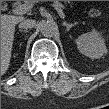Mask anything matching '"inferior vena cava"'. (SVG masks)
I'll list each match as a JSON object with an SVG mask.
<instances>
[{
	"mask_svg": "<svg viewBox=\"0 0 109 109\" xmlns=\"http://www.w3.org/2000/svg\"><path fill=\"white\" fill-rule=\"evenodd\" d=\"M36 25V21L32 19H24L20 22L19 28L29 29L33 28Z\"/></svg>",
	"mask_w": 109,
	"mask_h": 109,
	"instance_id": "1",
	"label": "inferior vena cava"
}]
</instances>
